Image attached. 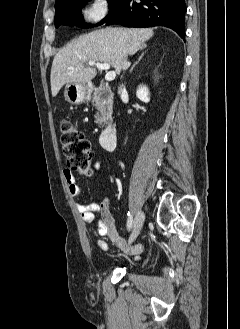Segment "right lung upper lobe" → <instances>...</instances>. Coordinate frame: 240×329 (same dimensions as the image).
<instances>
[{
  "instance_id": "1",
  "label": "right lung upper lobe",
  "mask_w": 240,
  "mask_h": 329,
  "mask_svg": "<svg viewBox=\"0 0 240 329\" xmlns=\"http://www.w3.org/2000/svg\"><path fill=\"white\" fill-rule=\"evenodd\" d=\"M66 1H68V0H56V2H55V8L61 6V5L64 4Z\"/></svg>"
}]
</instances>
